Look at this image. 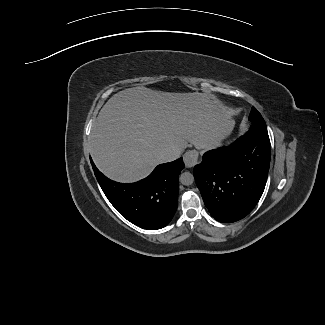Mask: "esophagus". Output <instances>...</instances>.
Here are the masks:
<instances>
[{"label":"esophagus","instance_id":"obj_1","mask_svg":"<svg viewBox=\"0 0 325 325\" xmlns=\"http://www.w3.org/2000/svg\"><path fill=\"white\" fill-rule=\"evenodd\" d=\"M198 156L199 154L196 150L187 151L183 156L185 166L188 168L195 166L198 163Z\"/></svg>","mask_w":325,"mask_h":325}]
</instances>
